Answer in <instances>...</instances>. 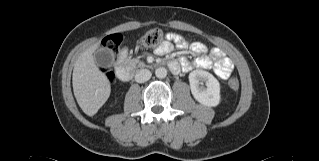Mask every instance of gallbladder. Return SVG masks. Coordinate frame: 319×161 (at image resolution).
I'll return each mask as SVG.
<instances>
[{"mask_svg": "<svg viewBox=\"0 0 319 161\" xmlns=\"http://www.w3.org/2000/svg\"><path fill=\"white\" fill-rule=\"evenodd\" d=\"M95 63L99 67H110L113 61V56L110 50L101 49L94 54Z\"/></svg>", "mask_w": 319, "mask_h": 161, "instance_id": "bac80fb5", "label": "gallbladder"}]
</instances>
